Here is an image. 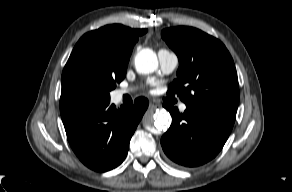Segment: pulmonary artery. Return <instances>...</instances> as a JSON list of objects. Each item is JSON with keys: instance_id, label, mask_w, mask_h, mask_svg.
<instances>
[{"instance_id": "pulmonary-artery-1", "label": "pulmonary artery", "mask_w": 292, "mask_h": 192, "mask_svg": "<svg viewBox=\"0 0 292 192\" xmlns=\"http://www.w3.org/2000/svg\"><path fill=\"white\" fill-rule=\"evenodd\" d=\"M158 60L161 71L164 74L172 73L178 65L177 55L174 52L169 51L167 49H160L158 51ZM129 92H130L129 89H122L118 91V95L121 97L125 94H128ZM179 108L182 112H184L186 110V105L181 104Z\"/></svg>"}]
</instances>
